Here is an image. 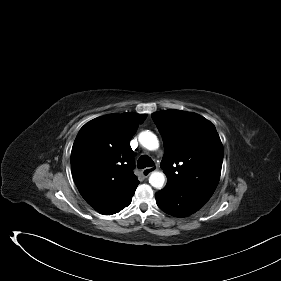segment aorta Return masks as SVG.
<instances>
[{
	"mask_svg": "<svg viewBox=\"0 0 281 281\" xmlns=\"http://www.w3.org/2000/svg\"><path fill=\"white\" fill-rule=\"evenodd\" d=\"M140 144L148 150H156L159 147L157 136L150 131H143L139 134ZM149 183L156 189H161L165 183V174L163 172L154 171L149 177Z\"/></svg>",
	"mask_w": 281,
	"mask_h": 281,
	"instance_id": "1",
	"label": "aorta"
}]
</instances>
